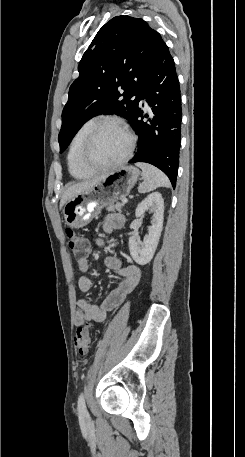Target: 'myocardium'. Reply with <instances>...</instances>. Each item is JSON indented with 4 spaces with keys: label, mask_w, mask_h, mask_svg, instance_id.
<instances>
[{
    "label": "myocardium",
    "mask_w": 245,
    "mask_h": 457,
    "mask_svg": "<svg viewBox=\"0 0 245 457\" xmlns=\"http://www.w3.org/2000/svg\"><path fill=\"white\" fill-rule=\"evenodd\" d=\"M105 128H114V129L122 132L128 138V145H127L126 150L123 152V154L120 155L113 162H111L110 164H108L104 167L95 168V167L90 166L86 162L85 156H86V152H87L88 148L92 145L96 136ZM135 143H136L135 135L128 128V126H126L124 123H122L118 120H110V119L98 121L94 124V126L89 130V132L86 135L83 145L78 152V163H79L80 167L84 171H86L89 175H94V174H98L101 172L113 170V169L117 168L118 166L122 165L123 163H125L131 157L133 150L135 148Z\"/></svg>",
    "instance_id": "obj_1"
}]
</instances>
